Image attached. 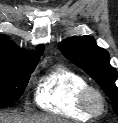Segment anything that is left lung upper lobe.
<instances>
[{"mask_svg":"<svg viewBox=\"0 0 118 123\" xmlns=\"http://www.w3.org/2000/svg\"><path fill=\"white\" fill-rule=\"evenodd\" d=\"M59 49L100 85L118 114V88L115 85L118 73L109 63L108 52L98 47L91 36L67 38L59 44Z\"/></svg>","mask_w":118,"mask_h":123,"instance_id":"left-lung-upper-lobe-1","label":"left lung upper lobe"}]
</instances>
